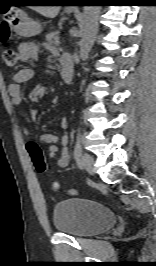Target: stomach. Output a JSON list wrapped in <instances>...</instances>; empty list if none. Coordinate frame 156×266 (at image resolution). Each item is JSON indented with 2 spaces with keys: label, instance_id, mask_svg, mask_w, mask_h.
I'll return each mask as SVG.
<instances>
[{
  "label": "stomach",
  "instance_id": "0dacf381",
  "mask_svg": "<svg viewBox=\"0 0 156 266\" xmlns=\"http://www.w3.org/2000/svg\"><path fill=\"white\" fill-rule=\"evenodd\" d=\"M9 19L11 29L21 36L31 37L42 31L39 23L29 20L20 11H16Z\"/></svg>",
  "mask_w": 156,
  "mask_h": 266
}]
</instances>
